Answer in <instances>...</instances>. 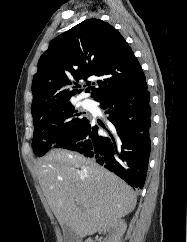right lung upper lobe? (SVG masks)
<instances>
[{
  "instance_id": "1",
  "label": "right lung upper lobe",
  "mask_w": 187,
  "mask_h": 242,
  "mask_svg": "<svg viewBox=\"0 0 187 242\" xmlns=\"http://www.w3.org/2000/svg\"><path fill=\"white\" fill-rule=\"evenodd\" d=\"M91 79L92 81H88ZM146 79L132 49L111 25L88 19L54 38L32 82V116L71 103L83 91L101 97ZM80 80L86 85H79Z\"/></svg>"
}]
</instances>
